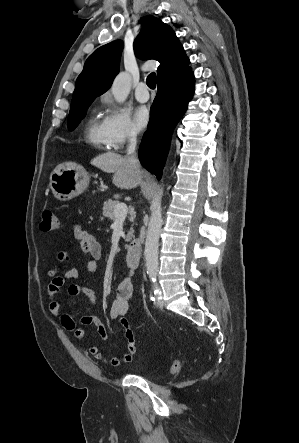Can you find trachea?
Masks as SVG:
<instances>
[{
    "instance_id": "trachea-1",
    "label": "trachea",
    "mask_w": 299,
    "mask_h": 443,
    "mask_svg": "<svg viewBox=\"0 0 299 443\" xmlns=\"http://www.w3.org/2000/svg\"><path fill=\"white\" fill-rule=\"evenodd\" d=\"M156 82H157L156 74L152 72L151 74L148 75L146 83L150 89H155Z\"/></svg>"
}]
</instances>
